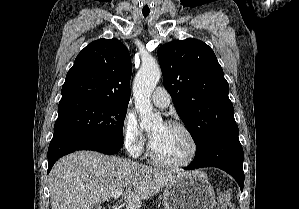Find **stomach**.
Wrapping results in <instances>:
<instances>
[{
    "label": "stomach",
    "instance_id": "obj_1",
    "mask_svg": "<svg viewBox=\"0 0 299 209\" xmlns=\"http://www.w3.org/2000/svg\"><path fill=\"white\" fill-rule=\"evenodd\" d=\"M165 209H214L213 187L204 172L193 171L168 185L163 192Z\"/></svg>",
    "mask_w": 299,
    "mask_h": 209
}]
</instances>
